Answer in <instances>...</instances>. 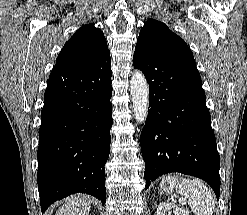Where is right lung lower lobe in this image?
I'll return each instance as SVG.
<instances>
[{"instance_id": "98d812e1", "label": "right lung lower lobe", "mask_w": 247, "mask_h": 215, "mask_svg": "<svg viewBox=\"0 0 247 215\" xmlns=\"http://www.w3.org/2000/svg\"><path fill=\"white\" fill-rule=\"evenodd\" d=\"M110 54L75 68L56 64L41 111L38 190L41 211L71 194L106 202L105 163L112 126Z\"/></svg>"}]
</instances>
